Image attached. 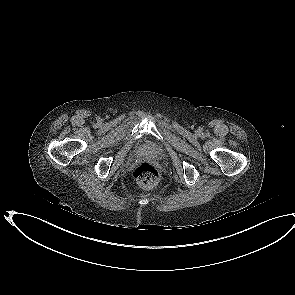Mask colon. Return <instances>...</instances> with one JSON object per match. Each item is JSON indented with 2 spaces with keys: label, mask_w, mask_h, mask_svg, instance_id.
Returning a JSON list of instances; mask_svg holds the SVG:
<instances>
[{
  "label": "colon",
  "mask_w": 295,
  "mask_h": 295,
  "mask_svg": "<svg viewBox=\"0 0 295 295\" xmlns=\"http://www.w3.org/2000/svg\"><path fill=\"white\" fill-rule=\"evenodd\" d=\"M133 176L137 184L145 190H152L160 182V172L151 163L143 162L139 164L134 170Z\"/></svg>",
  "instance_id": "obj_1"
}]
</instances>
